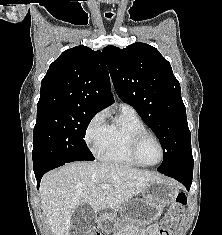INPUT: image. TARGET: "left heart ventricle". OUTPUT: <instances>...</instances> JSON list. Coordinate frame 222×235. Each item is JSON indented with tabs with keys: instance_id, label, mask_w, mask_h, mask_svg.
Listing matches in <instances>:
<instances>
[{
	"instance_id": "left-heart-ventricle-1",
	"label": "left heart ventricle",
	"mask_w": 222,
	"mask_h": 235,
	"mask_svg": "<svg viewBox=\"0 0 222 235\" xmlns=\"http://www.w3.org/2000/svg\"><path fill=\"white\" fill-rule=\"evenodd\" d=\"M140 157L145 163H156L160 158L158 144L153 139L146 140L140 148Z\"/></svg>"
}]
</instances>
